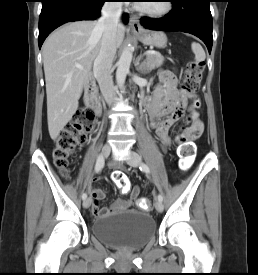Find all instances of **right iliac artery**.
Listing matches in <instances>:
<instances>
[{"mask_svg": "<svg viewBox=\"0 0 258 275\" xmlns=\"http://www.w3.org/2000/svg\"><path fill=\"white\" fill-rule=\"evenodd\" d=\"M103 167H104V158H103V156L99 155V157L97 158V161H96V165H95V172L99 173ZM86 198H87V194L83 193L82 199L85 200Z\"/></svg>", "mask_w": 258, "mask_h": 275, "instance_id": "82829eb1", "label": "right iliac artery"}]
</instances>
